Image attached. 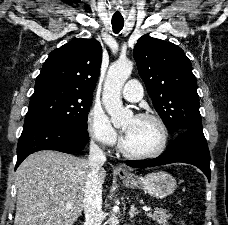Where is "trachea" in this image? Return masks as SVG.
Returning a JSON list of instances; mask_svg holds the SVG:
<instances>
[{"mask_svg":"<svg viewBox=\"0 0 228 225\" xmlns=\"http://www.w3.org/2000/svg\"><path fill=\"white\" fill-rule=\"evenodd\" d=\"M124 25V19L123 18H113L112 19V27H113V31L115 33H119Z\"/></svg>","mask_w":228,"mask_h":225,"instance_id":"1","label":"trachea"}]
</instances>
